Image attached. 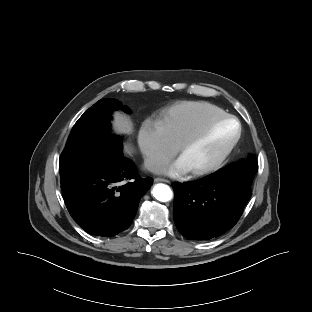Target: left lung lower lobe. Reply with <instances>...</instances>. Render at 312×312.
I'll use <instances>...</instances> for the list:
<instances>
[{
    "label": "left lung lower lobe",
    "instance_id": "left-lung-lower-lobe-1",
    "mask_svg": "<svg viewBox=\"0 0 312 312\" xmlns=\"http://www.w3.org/2000/svg\"><path fill=\"white\" fill-rule=\"evenodd\" d=\"M173 189L174 222L190 240H209L232 228L252 195L251 188L224 171L173 183Z\"/></svg>",
    "mask_w": 312,
    "mask_h": 312
}]
</instances>
